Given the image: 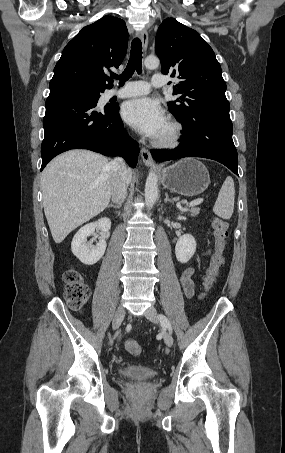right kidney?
<instances>
[{
  "instance_id": "right-kidney-1",
  "label": "right kidney",
  "mask_w": 285,
  "mask_h": 453,
  "mask_svg": "<svg viewBox=\"0 0 285 453\" xmlns=\"http://www.w3.org/2000/svg\"><path fill=\"white\" fill-rule=\"evenodd\" d=\"M98 228L102 233H106L111 228L109 218H101L96 222L86 224L78 230L71 243L72 253L85 265L97 263L104 255L106 250V241L100 240L96 246L87 243V237L94 233Z\"/></svg>"
}]
</instances>
